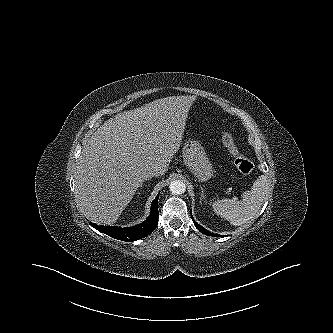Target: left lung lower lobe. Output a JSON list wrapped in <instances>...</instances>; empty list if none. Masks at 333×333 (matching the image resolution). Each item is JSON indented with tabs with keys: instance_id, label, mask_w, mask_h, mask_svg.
<instances>
[{
	"instance_id": "1",
	"label": "left lung lower lobe",
	"mask_w": 333,
	"mask_h": 333,
	"mask_svg": "<svg viewBox=\"0 0 333 333\" xmlns=\"http://www.w3.org/2000/svg\"><path fill=\"white\" fill-rule=\"evenodd\" d=\"M191 217H192V214H191ZM192 220H193V217H192ZM194 225L196 226V228L198 230H200L202 233L206 234V235H209V236H218L217 234H214V233H211L210 231L206 230L205 228L201 227L200 225H198L194 220Z\"/></svg>"
}]
</instances>
